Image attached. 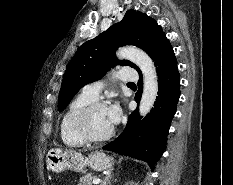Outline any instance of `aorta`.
Returning a JSON list of instances; mask_svg holds the SVG:
<instances>
[{
    "instance_id": "obj_1",
    "label": "aorta",
    "mask_w": 233,
    "mask_h": 185,
    "mask_svg": "<svg viewBox=\"0 0 233 185\" xmlns=\"http://www.w3.org/2000/svg\"><path fill=\"white\" fill-rule=\"evenodd\" d=\"M117 56L136 64L143 73V93L139 105V113L145 116L150 112L158 95V79L152 59L143 50L136 47H123Z\"/></svg>"
}]
</instances>
